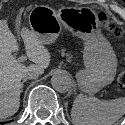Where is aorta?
Returning a JSON list of instances; mask_svg holds the SVG:
<instances>
[{
  "label": "aorta",
  "mask_w": 125,
  "mask_h": 125,
  "mask_svg": "<svg viewBox=\"0 0 125 125\" xmlns=\"http://www.w3.org/2000/svg\"><path fill=\"white\" fill-rule=\"evenodd\" d=\"M51 84L56 91L66 93L72 87V80L67 72L59 71L52 76Z\"/></svg>",
  "instance_id": "762f6f07"
}]
</instances>
